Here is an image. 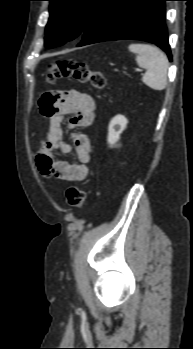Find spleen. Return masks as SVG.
<instances>
[{
  "instance_id": "spleen-1",
  "label": "spleen",
  "mask_w": 193,
  "mask_h": 349,
  "mask_svg": "<svg viewBox=\"0 0 193 349\" xmlns=\"http://www.w3.org/2000/svg\"><path fill=\"white\" fill-rule=\"evenodd\" d=\"M129 50L136 54L137 64L146 69L142 77L143 83L157 91L165 89L169 66L167 56L159 48L149 44H130Z\"/></svg>"
}]
</instances>
